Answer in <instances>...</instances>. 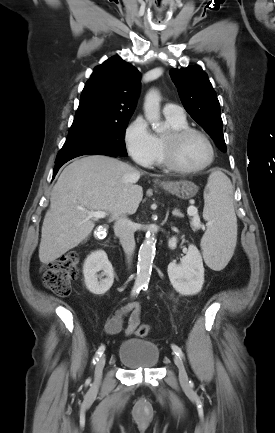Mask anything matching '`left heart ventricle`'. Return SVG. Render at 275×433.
Returning a JSON list of instances; mask_svg holds the SVG:
<instances>
[{
    "label": "left heart ventricle",
    "mask_w": 275,
    "mask_h": 433,
    "mask_svg": "<svg viewBox=\"0 0 275 433\" xmlns=\"http://www.w3.org/2000/svg\"><path fill=\"white\" fill-rule=\"evenodd\" d=\"M210 157V149L205 139L192 134L185 138L177 149V159L184 167L194 168L203 165Z\"/></svg>",
    "instance_id": "obj_1"
}]
</instances>
